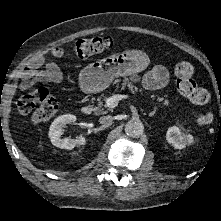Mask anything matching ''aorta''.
<instances>
[{
    "mask_svg": "<svg viewBox=\"0 0 221 221\" xmlns=\"http://www.w3.org/2000/svg\"><path fill=\"white\" fill-rule=\"evenodd\" d=\"M144 132V125L140 120L131 119L125 124V133L133 138L140 137Z\"/></svg>",
    "mask_w": 221,
    "mask_h": 221,
    "instance_id": "aorta-1",
    "label": "aorta"
}]
</instances>
